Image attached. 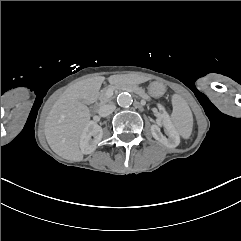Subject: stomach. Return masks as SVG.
Segmentation results:
<instances>
[{"mask_svg": "<svg viewBox=\"0 0 241 241\" xmlns=\"http://www.w3.org/2000/svg\"><path fill=\"white\" fill-rule=\"evenodd\" d=\"M148 92L152 97L159 98L166 92V87L161 82L153 81L148 86Z\"/></svg>", "mask_w": 241, "mask_h": 241, "instance_id": "obj_1", "label": "stomach"}]
</instances>
